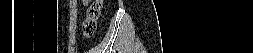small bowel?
<instances>
[{"label":"small bowel","mask_w":253,"mask_h":53,"mask_svg":"<svg viewBox=\"0 0 253 53\" xmlns=\"http://www.w3.org/2000/svg\"><path fill=\"white\" fill-rule=\"evenodd\" d=\"M89 3H90L89 0H82V1H81V5H82V6H87V5H89Z\"/></svg>","instance_id":"obj_1"}]
</instances>
